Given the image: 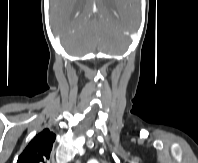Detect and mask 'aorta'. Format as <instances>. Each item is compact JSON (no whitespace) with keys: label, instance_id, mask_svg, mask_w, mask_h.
I'll use <instances>...</instances> for the list:
<instances>
[{"label":"aorta","instance_id":"obj_1","mask_svg":"<svg viewBox=\"0 0 198 163\" xmlns=\"http://www.w3.org/2000/svg\"><path fill=\"white\" fill-rule=\"evenodd\" d=\"M90 163H97V162H95V161H91Z\"/></svg>","mask_w":198,"mask_h":163}]
</instances>
